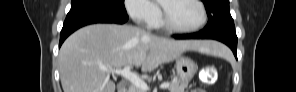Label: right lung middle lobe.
Wrapping results in <instances>:
<instances>
[{
  "instance_id": "right-lung-middle-lobe-1",
  "label": "right lung middle lobe",
  "mask_w": 296,
  "mask_h": 92,
  "mask_svg": "<svg viewBox=\"0 0 296 92\" xmlns=\"http://www.w3.org/2000/svg\"><path fill=\"white\" fill-rule=\"evenodd\" d=\"M78 6H98L110 11L127 13L124 0H71V8Z\"/></svg>"
}]
</instances>
